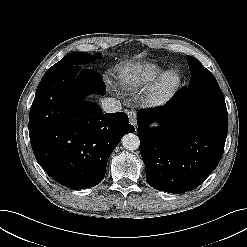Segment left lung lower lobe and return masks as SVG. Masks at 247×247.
Masks as SVG:
<instances>
[{
  "mask_svg": "<svg viewBox=\"0 0 247 247\" xmlns=\"http://www.w3.org/2000/svg\"><path fill=\"white\" fill-rule=\"evenodd\" d=\"M137 124L147 183L180 194L197 188L220 162L228 113L218 82L206 70L164 106L139 111Z\"/></svg>",
  "mask_w": 247,
  "mask_h": 247,
  "instance_id": "left-lung-lower-lobe-1",
  "label": "left lung lower lobe"
}]
</instances>
